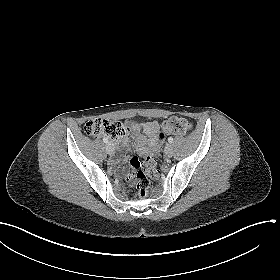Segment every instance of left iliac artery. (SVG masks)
<instances>
[{"instance_id": "1", "label": "left iliac artery", "mask_w": 280, "mask_h": 280, "mask_svg": "<svg viewBox=\"0 0 280 280\" xmlns=\"http://www.w3.org/2000/svg\"><path fill=\"white\" fill-rule=\"evenodd\" d=\"M173 140H174V139H173L172 137H169V138H168V142H169V143H172Z\"/></svg>"}]
</instances>
